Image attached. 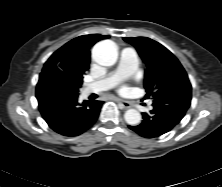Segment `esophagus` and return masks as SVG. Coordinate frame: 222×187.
Returning a JSON list of instances; mask_svg holds the SVG:
<instances>
[{
    "mask_svg": "<svg viewBox=\"0 0 222 187\" xmlns=\"http://www.w3.org/2000/svg\"><path fill=\"white\" fill-rule=\"evenodd\" d=\"M119 104L122 106V108L124 109H128L131 107V104L127 101H123V100H118Z\"/></svg>",
    "mask_w": 222,
    "mask_h": 187,
    "instance_id": "obj_1",
    "label": "esophagus"
}]
</instances>
